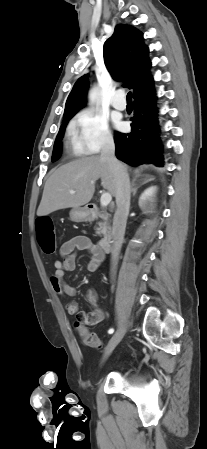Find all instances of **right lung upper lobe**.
I'll list each match as a JSON object with an SVG mask.
<instances>
[{
	"label": "right lung upper lobe",
	"instance_id": "cb5924a9",
	"mask_svg": "<svg viewBox=\"0 0 207 449\" xmlns=\"http://www.w3.org/2000/svg\"><path fill=\"white\" fill-rule=\"evenodd\" d=\"M148 47L143 43V34L135 28L118 24L113 35L103 47L104 62L112 78L127 81L124 87L133 89V96L153 87L149 74L151 62ZM88 75L79 78L70 92L63 120L73 115L85 104L89 88Z\"/></svg>",
	"mask_w": 207,
	"mask_h": 449
}]
</instances>
